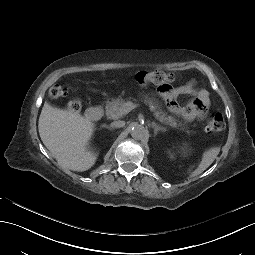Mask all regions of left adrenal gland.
I'll list each match as a JSON object with an SVG mask.
<instances>
[{"label": "left adrenal gland", "mask_w": 255, "mask_h": 255, "mask_svg": "<svg viewBox=\"0 0 255 255\" xmlns=\"http://www.w3.org/2000/svg\"><path fill=\"white\" fill-rule=\"evenodd\" d=\"M152 128L154 129V136H157L158 131L165 132L166 130L158 125L155 122L151 123Z\"/></svg>", "instance_id": "left-adrenal-gland-1"}]
</instances>
